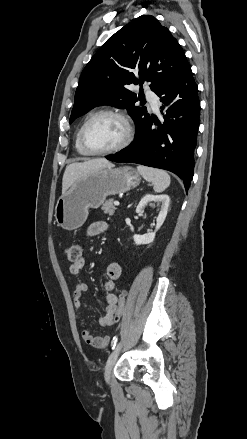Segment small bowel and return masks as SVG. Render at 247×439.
I'll use <instances>...</instances> for the list:
<instances>
[{
    "instance_id": "obj_1",
    "label": "small bowel",
    "mask_w": 247,
    "mask_h": 439,
    "mask_svg": "<svg viewBox=\"0 0 247 439\" xmlns=\"http://www.w3.org/2000/svg\"><path fill=\"white\" fill-rule=\"evenodd\" d=\"M108 228V224L105 221H96L90 224L87 229V235L90 237H96L104 233ZM85 258L81 257L77 261L73 262L69 271L72 275L78 276L85 265ZM121 276V266L118 263L112 262L107 267L108 281L104 285L103 298L106 303L104 314L99 318V324L102 327H109L114 323V312L117 304V296L112 293L114 288V282ZM87 290V285L84 282H78L74 288L72 301L76 308H80L82 305V296ZM82 338L90 346L98 349L106 348L109 344L108 336H94L86 328L84 320H81Z\"/></svg>"
}]
</instances>
